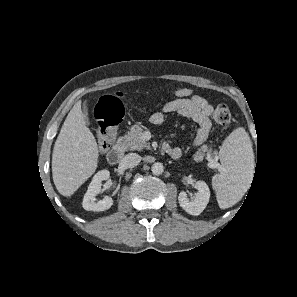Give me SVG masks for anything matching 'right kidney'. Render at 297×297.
I'll list each match as a JSON object with an SVG mask.
<instances>
[{
  "label": "right kidney",
  "mask_w": 297,
  "mask_h": 297,
  "mask_svg": "<svg viewBox=\"0 0 297 297\" xmlns=\"http://www.w3.org/2000/svg\"><path fill=\"white\" fill-rule=\"evenodd\" d=\"M110 172L108 170H101L96 173L89 184L88 190L84 195L82 206L87 211L100 212L108 210L113 205V199L105 196L103 200L96 202L95 196L100 192L102 181L108 180Z\"/></svg>",
  "instance_id": "1"
}]
</instances>
